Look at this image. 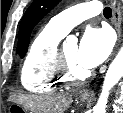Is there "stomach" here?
I'll list each match as a JSON object with an SVG mask.
<instances>
[{"mask_svg": "<svg viewBox=\"0 0 123 113\" xmlns=\"http://www.w3.org/2000/svg\"><path fill=\"white\" fill-rule=\"evenodd\" d=\"M79 99L82 102H85L89 98L86 97V96L80 95ZM9 112H22V113H24V109L20 105H18V104H11L10 107H9Z\"/></svg>", "mask_w": 123, "mask_h": 113, "instance_id": "1", "label": "stomach"}]
</instances>
